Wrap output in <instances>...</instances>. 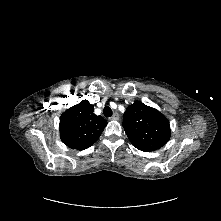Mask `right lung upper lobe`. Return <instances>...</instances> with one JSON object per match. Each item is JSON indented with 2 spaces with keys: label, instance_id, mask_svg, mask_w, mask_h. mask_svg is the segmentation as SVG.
Returning <instances> with one entry per match:
<instances>
[{
  "label": "right lung upper lobe",
  "instance_id": "1",
  "mask_svg": "<svg viewBox=\"0 0 221 221\" xmlns=\"http://www.w3.org/2000/svg\"><path fill=\"white\" fill-rule=\"evenodd\" d=\"M106 125L107 121L95 115L93 106L87 100H83L61 115V140L70 148L84 150L98 140Z\"/></svg>",
  "mask_w": 221,
  "mask_h": 221
}]
</instances>
